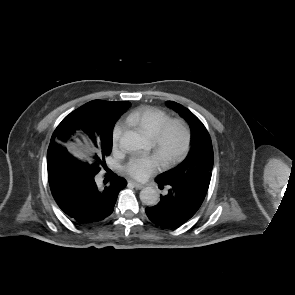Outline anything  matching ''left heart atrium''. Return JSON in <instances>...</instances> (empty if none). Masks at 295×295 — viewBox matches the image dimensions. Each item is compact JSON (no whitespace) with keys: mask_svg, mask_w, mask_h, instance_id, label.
I'll return each instance as SVG.
<instances>
[{"mask_svg":"<svg viewBox=\"0 0 295 295\" xmlns=\"http://www.w3.org/2000/svg\"><path fill=\"white\" fill-rule=\"evenodd\" d=\"M163 165L158 154L133 156L125 166V171L132 178L144 181L156 173Z\"/></svg>","mask_w":295,"mask_h":295,"instance_id":"39dd6f15","label":"left heart atrium"}]
</instances>
